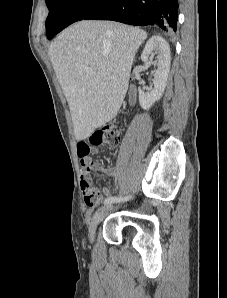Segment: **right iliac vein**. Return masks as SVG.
<instances>
[{
    "mask_svg": "<svg viewBox=\"0 0 227 298\" xmlns=\"http://www.w3.org/2000/svg\"><path fill=\"white\" fill-rule=\"evenodd\" d=\"M112 205L111 204H107L103 207H101L100 209H98L96 211V213L94 214L90 225H89V237L91 239H93L94 234H95V230L97 228V226L99 225V223L104 219V217L108 214V212L112 209Z\"/></svg>",
    "mask_w": 227,
    "mask_h": 298,
    "instance_id": "63e3f726",
    "label": "right iliac vein"
}]
</instances>
